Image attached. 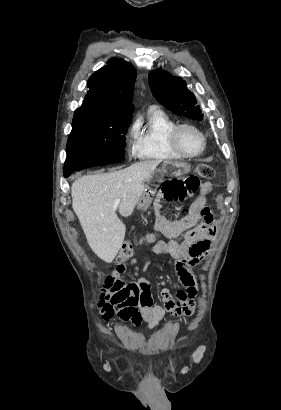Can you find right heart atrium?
<instances>
[{
  "label": "right heart atrium",
  "mask_w": 281,
  "mask_h": 410,
  "mask_svg": "<svg viewBox=\"0 0 281 410\" xmlns=\"http://www.w3.org/2000/svg\"><path fill=\"white\" fill-rule=\"evenodd\" d=\"M138 135V122L133 120L127 127L124 138L125 148L128 152L135 153L136 137Z\"/></svg>",
  "instance_id": "obj_1"
}]
</instances>
